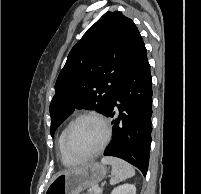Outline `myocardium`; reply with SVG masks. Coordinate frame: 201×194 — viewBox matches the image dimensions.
Instances as JSON below:
<instances>
[{
    "mask_svg": "<svg viewBox=\"0 0 201 194\" xmlns=\"http://www.w3.org/2000/svg\"><path fill=\"white\" fill-rule=\"evenodd\" d=\"M86 118L95 119L102 124L103 129H104V139H103L101 145L95 151H93L92 153L87 154V155L79 156L70 151L69 146H68L69 136H70V133H71L73 127L75 126V124L78 123L80 120L86 119ZM110 137H111V129H110L107 119L103 115L95 113V112L82 113V114L78 115L77 117H75L67 125L65 132H64V137H63V150L70 159H72L76 162L86 161V160L92 159V158L96 157L97 155H99L104 150V148L107 146V144L109 143Z\"/></svg>",
    "mask_w": 201,
    "mask_h": 194,
    "instance_id": "f54148a6",
    "label": "myocardium"
}]
</instances>
